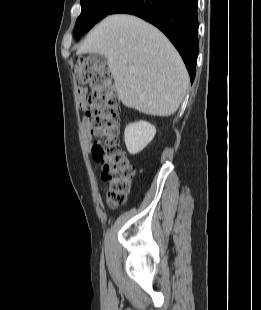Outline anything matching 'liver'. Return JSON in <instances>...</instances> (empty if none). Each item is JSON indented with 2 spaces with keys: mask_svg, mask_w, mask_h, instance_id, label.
<instances>
[{
  "mask_svg": "<svg viewBox=\"0 0 261 310\" xmlns=\"http://www.w3.org/2000/svg\"><path fill=\"white\" fill-rule=\"evenodd\" d=\"M85 53L106 57L118 98L145 114L172 115L189 86L186 67L171 42L156 27L133 15L103 19L77 50L78 55Z\"/></svg>",
  "mask_w": 261,
  "mask_h": 310,
  "instance_id": "obj_1",
  "label": "liver"
}]
</instances>
